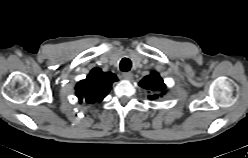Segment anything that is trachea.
Returning <instances> with one entry per match:
<instances>
[{
  "mask_svg": "<svg viewBox=\"0 0 248 158\" xmlns=\"http://www.w3.org/2000/svg\"><path fill=\"white\" fill-rule=\"evenodd\" d=\"M121 71L127 72L131 69V61L128 58H123L120 62Z\"/></svg>",
  "mask_w": 248,
  "mask_h": 158,
  "instance_id": "1",
  "label": "trachea"
}]
</instances>
